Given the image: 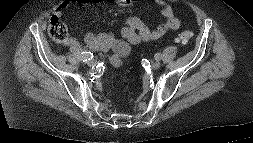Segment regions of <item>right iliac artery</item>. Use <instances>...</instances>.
I'll use <instances>...</instances> for the list:
<instances>
[{
    "label": "right iliac artery",
    "instance_id": "obj_1",
    "mask_svg": "<svg viewBox=\"0 0 253 143\" xmlns=\"http://www.w3.org/2000/svg\"><path fill=\"white\" fill-rule=\"evenodd\" d=\"M80 57H81V61L87 62L88 60H91L94 57V55L90 51H84L81 53Z\"/></svg>",
    "mask_w": 253,
    "mask_h": 143
}]
</instances>
